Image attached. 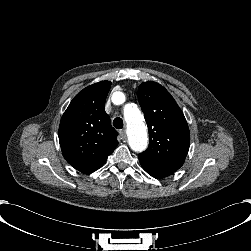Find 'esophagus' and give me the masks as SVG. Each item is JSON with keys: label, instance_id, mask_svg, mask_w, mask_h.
Wrapping results in <instances>:
<instances>
[{"label": "esophagus", "instance_id": "34e87169", "mask_svg": "<svg viewBox=\"0 0 251 251\" xmlns=\"http://www.w3.org/2000/svg\"><path fill=\"white\" fill-rule=\"evenodd\" d=\"M119 133H120V136L122 137V139H126V131H125V129L121 130Z\"/></svg>", "mask_w": 251, "mask_h": 251}]
</instances>
